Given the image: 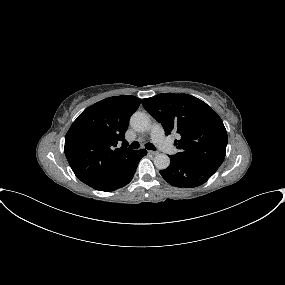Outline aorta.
Here are the masks:
<instances>
[{
  "mask_svg": "<svg viewBox=\"0 0 285 285\" xmlns=\"http://www.w3.org/2000/svg\"><path fill=\"white\" fill-rule=\"evenodd\" d=\"M131 127L138 132H144L150 129L149 116L142 112H135L130 118ZM154 165L160 170H164L170 165V158L166 154H157L154 157Z\"/></svg>",
  "mask_w": 285,
  "mask_h": 285,
  "instance_id": "1",
  "label": "aorta"
}]
</instances>
